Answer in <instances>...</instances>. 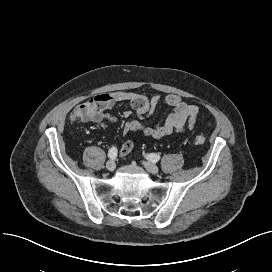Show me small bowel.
I'll use <instances>...</instances> for the list:
<instances>
[{
    "label": "small bowel",
    "instance_id": "small-bowel-1",
    "mask_svg": "<svg viewBox=\"0 0 272 272\" xmlns=\"http://www.w3.org/2000/svg\"><path fill=\"white\" fill-rule=\"evenodd\" d=\"M126 102L135 111L138 119L128 120L123 127V134L140 132L147 137L161 139L172 133H180L192 130L196 124L198 108L188 104L177 94H169L165 97L153 95L148 97L132 91H115L112 93H100L88 98L73 109L69 115L70 121L101 122L104 119H114L108 110L114 103ZM160 102L172 108L164 122L155 126H148L142 122L155 111ZM125 117H130V110L124 111ZM133 149L132 141H126L120 149L122 156L129 154Z\"/></svg>",
    "mask_w": 272,
    "mask_h": 272
}]
</instances>
